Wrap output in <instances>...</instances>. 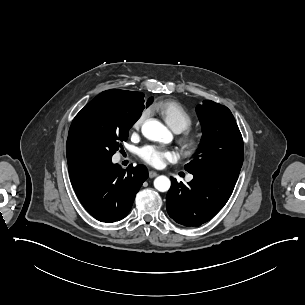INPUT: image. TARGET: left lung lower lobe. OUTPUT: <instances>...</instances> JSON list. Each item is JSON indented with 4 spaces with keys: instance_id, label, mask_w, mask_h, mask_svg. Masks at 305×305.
<instances>
[{
    "instance_id": "0a47b994",
    "label": "left lung lower lobe",
    "mask_w": 305,
    "mask_h": 305,
    "mask_svg": "<svg viewBox=\"0 0 305 305\" xmlns=\"http://www.w3.org/2000/svg\"><path fill=\"white\" fill-rule=\"evenodd\" d=\"M194 178L184 185L171 179L166 196L167 212L177 223L198 227L213 218L230 198L238 176L191 173Z\"/></svg>"
}]
</instances>
